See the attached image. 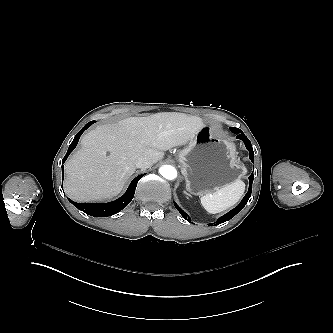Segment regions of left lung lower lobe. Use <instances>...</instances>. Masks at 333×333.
<instances>
[{
    "label": "left lung lower lobe",
    "mask_w": 333,
    "mask_h": 333,
    "mask_svg": "<svg viewBox=\"0 0 333 333\" xmlns=\"http://www.w3.org/2000/svg\"><path fill=\"white\" fill-rule=\"evenodd\" d=\"M230 130L233 132V133H237V138L238 139H241L247 150L249 151L250 153V160L253 161V158H254V152H253V148H252V145H251V142L249 141V139L245 136V134H243V132L238 129V128H235V127H231ZM253 173L249 176V182H250V185H249V189H248V192L247 194L244 196V198L242 199V201L240 202V204L235 207L234 209H232L231 211H229L228 213H226L225 215L221 216L216 223H211V224H208L209 226H214V225H219L220 223H224L228 220H230L231 218H233L238 212H240L243 207L247 204L250 196H251V191H252V183H253ZM176 209L180 212V214L183 216L184 219L188 220L189 222H191L190 220V217L176 204L174 203Z\"/></svg>",
    "instance_id": "left-lung-lower-lobe-1"
}]
</instances>
